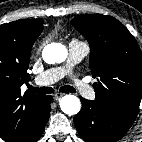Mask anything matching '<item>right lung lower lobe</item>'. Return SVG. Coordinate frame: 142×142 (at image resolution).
Returning <instances> with one entry per match:
<instances>
[{"label": "right lung lower lobe", "instance_id": "1", "mask_svg": "<svg viewBox=\"0 0 142 142\" xmlns=\"http://www.w3.org/2000/svg\"><path fill=\"white\" fill-rule=\"evenodd\" d=\"M51 100V96H45L44 108L41 111V114L37 117L29 132L17 142H37V140L41 137L45 125L48 121Z\"/></svg>", "mask_w": 142, "mask_h": 142}]
</instances>
